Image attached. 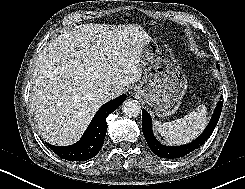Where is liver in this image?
I'll return each mask as SVG.
<instances>
[{
	"instance_id": "1",
	"label": "liver",
	"mask_w": 245,
	"mask_h": 189,
	"mask_svg": "<svg viewBox=\"0 0 245 189\" xmlns=\"http://www.w3.org/2000/svg\"><path fill=\"white\" fill-rule=\"evenodd\" d=\"M153 39L138 24H83L49 44L35 63L30 106L41 136L70 145L86 130L97 110L142 75L141 51Z\"/></svg>"
}]
</instances>
